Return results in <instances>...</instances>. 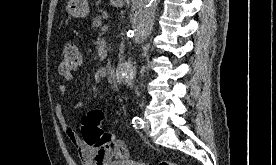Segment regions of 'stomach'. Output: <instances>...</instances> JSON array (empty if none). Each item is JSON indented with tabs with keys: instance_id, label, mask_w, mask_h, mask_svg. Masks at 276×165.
Masks as SVG:
<instances>
[{
	"instance_id": "stomach-1",
	"label": "stomach",
	"mask_w": 276,
	"mask_h": 165,
	"mask_svg": "<svg viewBox=\"0 0 276 165\" xmlns=\"http://www.w3.org/2000/svg\"><path fill=\"white\" fill-rule=\"evenodd\" d=\"M110 2L116 7H122L125 4V0H110ZM66 12L75 18L86 17L89 13L87 0H69Z\"/></svg>"
}]
</instances>
